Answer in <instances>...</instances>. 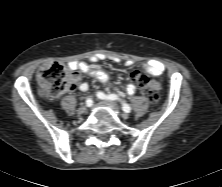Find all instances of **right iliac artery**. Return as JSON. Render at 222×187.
Here are the masks:
<instances>
[{
	"mask_svg": "<svg viewBox=\"0 0 222 187\" xmlns=\"http://www.w3.org/2000/svg\"><path fill=\"white\" fill-rule=\"evenodd\" d=\"M92 104H93V101H92L91 99H87V100H86V105H87L88 107H91Z\"/></svg>",
	"mask_w": 222,
	"mask_h": 187,
	"instance_id": "1",
	"label": "right iliac artery"
}]
</instances>
